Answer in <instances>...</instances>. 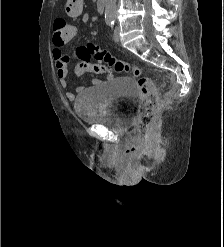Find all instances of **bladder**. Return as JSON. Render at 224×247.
<instances>
[{
	"instance_id": "1",
	"label": "bladder",
	"mask_w": 224,
	"mask_h": 247,
	"mask_svg": "<svg viewBox=\"0 0 224 247\" xmlns=\"http://www.w3.org/2000/svg\"><path fill=\"white\" fill-rule=\"evenodd\" d=\"M138 107L136 83L129 77H116L85 88L75 101L74 111L85 124L125 133L133 126Z\"/></svg>"
}]
</instances>
